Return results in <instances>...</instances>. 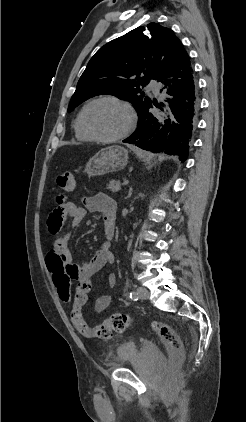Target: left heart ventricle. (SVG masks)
I'll return each mask as SVG.
<instances>
[{"instance_id":"obj_1","label":"left heart ventricle","mask_w":246,"mask_h":422,"mask_svg":"<svg viewBox=\"0 0 246 422\" xmlns=\"http://www.w3.org/2000/svg\"><path fill=\"white\" fill-rule=\"evenodd\" d=\"M89 128L102 137H111L122 132L128 123L125 109L111 101L92 105L87 112Z\"/></svg>"}]
</instances>
